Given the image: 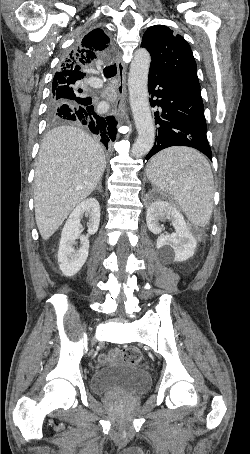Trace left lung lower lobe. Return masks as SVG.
<instances>
[{
  "label": "left lung lower lobe",
  "mask_w": 250,
  "mask_h": 454,
  "mask_svg": "<svg viewBox=\"0 0 250 454\" xmlns=\"http://www.w3.org/2000/svg\"><path fill=\"white\" fill-rule=\"evenodd\" d=\"M148 91L151 106L159 109L155 113V144L146 160L170 146L193 147L212 160L200 84L149 72Z\"/></svg>",
  "instance_id": "0a47b994"
}]
</instances>
